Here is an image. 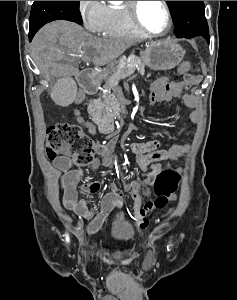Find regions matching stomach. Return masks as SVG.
<instances>
[{"mask_svg": "<svg viewBox=\"0 0 237 300\" xmlns=\"http://www.w3.org/2000/svg\"><path fill=\"white\" fill-rule=\"evenodd\" d=\"M141 59L149 69L153 71H169L180 65L183 61L185 51L177 41L172 39H163V41H154L145 51L140 53ZM112 69V67H110ZM107 73L98 75L99 79H104Z\"/></svg>", "mask_w": 237, "mask_h": 300, "instance_id": "stomach-1", "label": "stomach"}]
</instances>
